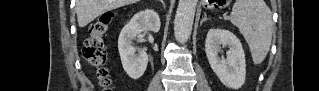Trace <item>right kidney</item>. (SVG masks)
<instances>
[{
	"mask_svg": "<svg viewBox=\"0 0 319 91\" xmlns=\"http://www.w3.org/2000/svg\"><path fill=\"white\" fill-rule=\"evenodd\" d=\"M160 26L159 15L152 9H146L135 14L121 30L118 38V50L123 69L130 78H140L148 64V55L144 51L137 50L133 46V41H140L143 33L147 30L157 33ZM136 51H138L137 54Z\"/></svg>",
	"mask_w": 319,
	"mask_h": 91,
	"instance_id": "1",
	"label": "right kidney"
}]
</instances>
